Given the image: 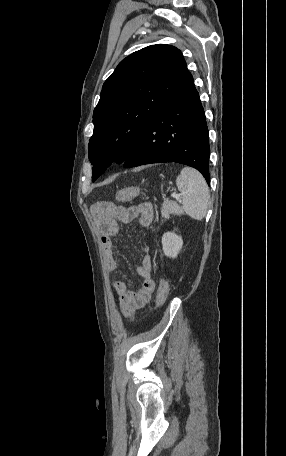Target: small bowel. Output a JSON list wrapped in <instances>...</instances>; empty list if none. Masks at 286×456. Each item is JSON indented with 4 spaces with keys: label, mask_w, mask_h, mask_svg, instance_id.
Masks as SVG:
<instances>
[{
    "label": "small bowel",
    "mask_w": 286,
    "mask_h": 456,
    "mask_svg": "<svg viewBox=\"0 0 286 456\" xmlns=\"http://www.w3.org/2000/svg\"><path fill=\"white\" fill-rule=\"evenodd\" d=\"M93 217L101 231V246L103 260L108 270L115 271L118 269V263L114 255V246L112 236L117 233L115 219L123 222H133L138 220L143 228H148L154 221V208L151 203L145 202L134 207H124L113 203L110 210H94ZM152 258L145 255L138 267V275L142 280L141 286L137 291L128 289L126 283L122 280L112 282V287L118 295L119 306L125 316H130L138 309L144 307L150 300L154 281L151 277Z\"/></svg>",
    "instance_id": "small-bowel-1"
}]
</instances>
